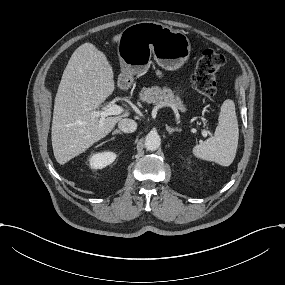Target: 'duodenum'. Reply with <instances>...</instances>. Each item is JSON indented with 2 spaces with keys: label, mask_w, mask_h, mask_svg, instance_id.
<instances>
[{
  "label": "duodenum",
  "mask_w": 285,
  "mask_h": 285,
  "mask_svg": "<svg viewBox=\"0 0 285 285\" xmlns=\"http://www.w3.org/2000/svg\"><path fill=\"white\" fill-rule=\"evenodd\" d=\"M118 86H119V88L122 89V90H127V89H129L130 86H131V81H130V79L127 78V77H122V78H120L119 81H118Z\"/></svg>",
  "instance_id": "duodenum-1"
}]
</instances>
